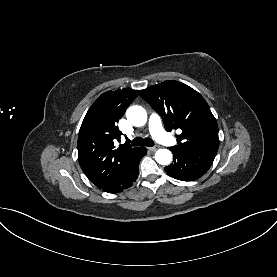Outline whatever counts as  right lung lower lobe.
Here are the masks:
<instances>
[{"instance_id": "right-lung-lower-lobe-1", "label": "right lung lower lobe", "mask_w": 277, "mask_h": 277, "mask_svg": "<svg viewBox=\"0 0 277 277\" xmlns=\"http://www.w3.org/2000/svg\"><path fill=\"white\" fill-rule=\"evenodd\" d=\"M146 151V148L141 147L128 166L102 190L109 193H117L131 187L138 177L139 161L146 154Z\"/></svg>"}]
</instances>
